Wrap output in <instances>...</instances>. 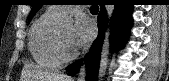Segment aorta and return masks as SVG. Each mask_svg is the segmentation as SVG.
Listing matches in <instances>:
<instances>
[{
  "label": "aorta",
  "mask_w": 169,
  "mask_h": 81,
  "mask_svg": "<svg viewBox=\"0 0 169 81\" xmlns=\"http://www.w3.org/2000/svg\"><path fill=\"white\" fill-rule=\"evenodd\" d=\"M106 12L108 16V24L105 31L104 41L101 49L100 54V65H99V72H98V79L102 80L106 74V70L109 63V54H110V22L111 17L114 12V5H106ZM60 23L63 25H71L73 23V18L69 15L62 16L60 19Z\"/></svg>",
  "instance_id": "762f6f07"
}]
</instances>
